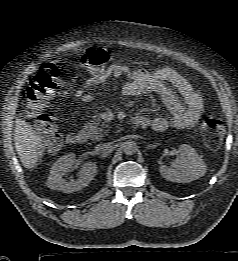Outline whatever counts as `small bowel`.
Segmentation results:
<instances>
[{
  "instance_id": "1",
  "label": "small bowel",
  "mask_w": 238,
  "mask_h": 261,
  "mask_svg": "<svg viewBox=\"0 0 238 261\" xmlns=\"http://www.w3.org/2000/svg\"><path fill=\"white\" fill-rule=\"evenodd\" d=\"M125 77L127 81L122 87V93L128 97H138L143 94H154L160 97L170 113V117L156 116L145 118L146 126L162 132L170 126L183 129L197 124L203 112V98L192 84L171 67H162L150 72L141 68H131L124 64H112L101 76H90L75 96L84 102H91L95 96L89 90L103 84L108 78ZM170 84L179 94L168 86Z\"/></svg>"
}]
</instances>
